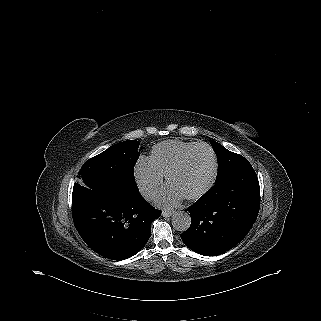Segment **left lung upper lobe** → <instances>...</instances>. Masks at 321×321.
<instances>
[{"label":"left lung upper lobe","instance_id":"obj_1","mask_svg":"<svg viewBox=\"0 0 321 321\" xmlns=\"http://www.w3.org/2000/svg\"><path fill=\"white\" fill-rule=\"evenodd\" d=\"M212 147L214 148L219 160V170L215 182L219 181L222 177L233 170L251 166L248 160L243 156L227 150L218 142L213 141Z\"/></svg>","mask_w":321,"mask_h":321}]
</instances>
